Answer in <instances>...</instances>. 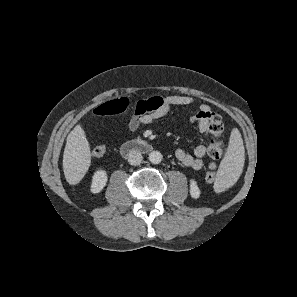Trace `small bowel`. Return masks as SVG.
<instances>
[{
    "mask_svg": "<svg viewBox=\"0 0 297 297\" xmlns=\"http://www.w3.org/2000/svg\"><path fill=\"white\" fill-rule=\"evenodd\" d=\"M150 104L149 109L141 115L134 114L129 122V128L136 130L141 124H150L155 120L166 115L172 108L177 106L192 107L195 104L191 96L171 95L166 97H151L147 99ZM213 112L208 105L202 104L198 107V111L190 118V123L195 124L201 133H206L209 130V119ZM207 153L205 145H198L193 154L186 152L183 149H177L175 152L176 158L179 162L195 171L201 170L204 166L203 157ZM210 170H216L218 164L210 162L208 164Z\"/></svg>",
    "mask_w": 297,
    "mask_h": 297,
    "instance_id": "c3829d8e",
    "label": "small bowel"
}]
</instances>
